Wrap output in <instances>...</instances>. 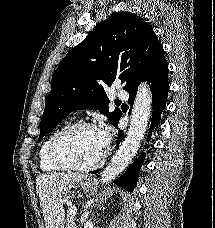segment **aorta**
<instances>
[{
  "mask_svg": "<svg viewBox=\"0 0 215 228\" xmlns=\"http://www.w3.org/2000/svg\"><path fill=\"white\" fill-rule=\"evenodd\" d=\"M151 110V90L148 84L141 82L134 100L128 134L118 152L113 156L110 164L102 172L101 184H109V182L115 180L132 162L144 138Z\"/></svg>",
  "mask_w": 215,
  "mask_h": 228,
  "instance_id": "aorta-1",
  "label": "aorta"
}]
</instances>
